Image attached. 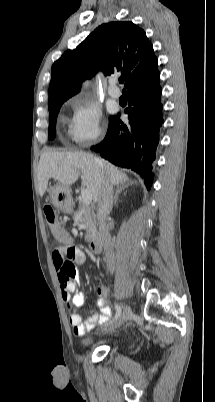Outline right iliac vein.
I'll return each mask as SVG.
<instances>
[{
  "label": "right iliac vein",
  "mask_w": 215,
  "mask_h": 402,
  "mask_svg": "<svg viewBox=\"0 0 215 402\" xmlns=\"http://www.w3.org/2000/svg\"><path fill=\"white\" fill-rule=\"evenodd\" d=\"M131 315V308L130 306L126 305L123 309L122 314L120 315L119 319L116 321V323L114 325H112L110 328L105 329L103 331L104 334L109 333L114 331L116 328L120 327L122 324H124Z\"/></svg>",
  "instance_id": "right-iliac-vein-1"
}]
</instances>
